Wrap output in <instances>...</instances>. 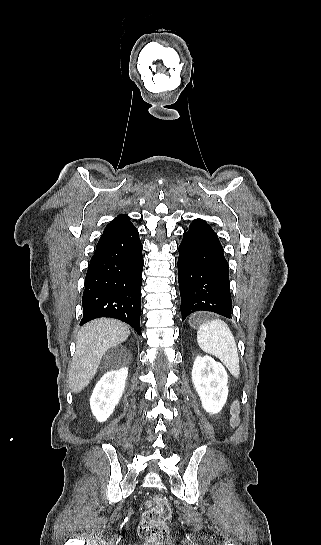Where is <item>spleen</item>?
<instances>
[{
  "mask_svg": "<svg viewBox=\"0 0 321 545\" xmlns=\"http://www.w3.org/2000/svg\"><path fill=\"white\" fill-rule=\"evenodd\" d=\"M197 343L209 355H214L229 373L239 379L240 367L236 341L228 325L220 319L202 323L197 331Z\"/></svg>",
  "mask_w": 321,
  "mask_h": 545,
  "instance_id": "spleen-1",
  "label": "spleen"
}]
</instances>
